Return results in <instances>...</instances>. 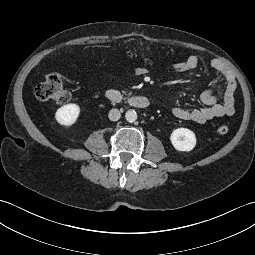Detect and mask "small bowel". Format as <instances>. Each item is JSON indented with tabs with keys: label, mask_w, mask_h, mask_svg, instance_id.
Here are the masks:
<instances>
[{
	"label": "small bowel",
	"mask_w": 255,
	"mask_h": 255,
	"mask_svg": "<svg viewBox=\"0 0 255 255\" xmlns=\"http://www.w3.org/2000/svg\"><path fill=\"white\" fill-rule=\"evenodd\" d=\"M198 65V57L191 55L172 65L171 70L174 73H184L196 69ZM210 66L220 75L222 85L202 92L200 98L202 103L205 105L202 108H174L172 112L176 118L203 124L214 118L231 116L235 112V91L237 88V82L234 74L219 59H213L210 62ZM144 73L145 70L143 69L136 71V74ZM221 87L224 88V94L223 100L220 102L217 97V91Z\"/></svg>",
	"instance_id": "small-bowel-1"
}]
</instances>
